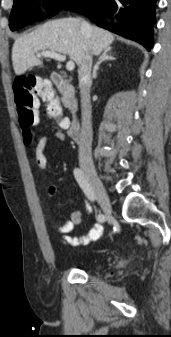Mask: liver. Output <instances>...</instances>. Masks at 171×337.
<instances>
[{
    "instance_id": "6515ba94",
    "label": "liver",
    "mask_w": 171,
    "mask_h": 337,
    "mask_svg": "<svg viewBox=\"0 0 171 337\" xmlns=\"http://www.w3.org/2000/svg\"><path fill=\"white\" fill-rule=\"evenodd\" d=\"M82 21L78 18H63L48 21L31 33L15 40L12 48V63L17 76L34 66H43L35 53L52 51L65 54L78 66L87 53L99 55L110 48L114 35L102 28L91 26L82 31Z\"/></svg>"
}]
</instances>
